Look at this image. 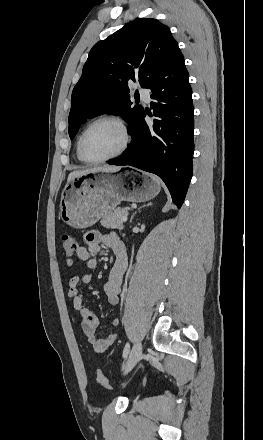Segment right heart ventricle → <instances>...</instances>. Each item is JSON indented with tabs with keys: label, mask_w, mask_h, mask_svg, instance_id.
I'll return each mask as SVG.
<instances>
[{
	"label": "right heart ventricle",
	"mask_w": 263,
	"mask_h": 440,
	"mask_svg": "<svg viewBox=\"0 0 263 440\" xmlns=\"http://www.w3.org/2000/svg\"><path fill=\"white\" fill-rule=\"evenodd\" d=\"M79 138H80V136L78 137L77 142H76V156H77V158H78L79 161L84 162V161L80 158V156H79V152H78V141H79Z\"/></svg>",
	"instance_id": "obj_1"
}]
</instances>
